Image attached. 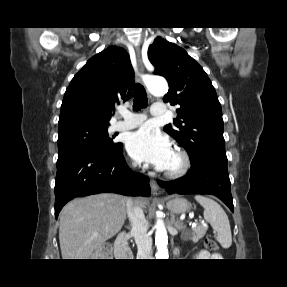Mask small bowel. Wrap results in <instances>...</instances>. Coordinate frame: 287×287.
I'll return each instance as SVG.
<instances>
[{
    "instance_id": "obj_1",
    "label": "small bowel",
    "mask_w": 287,
    "mask_h": 287,
    "mask_svg": "<svg viewBox=\"0 0 287 287\" xmlns=\"http://www.w3.org/2000/svg\"><path fill=\"white\" fill-rule=\"evenodd\" d=\"M196 257L199 259H208L210 257V253L205 250H201L197 252Z\"/></svg>"
}]
</instances>
